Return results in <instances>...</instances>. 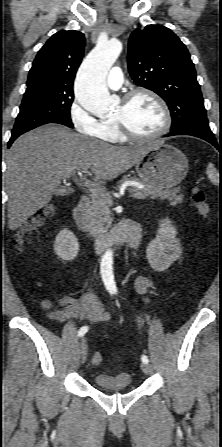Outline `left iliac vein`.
Wrapping results in <instances>:
<instances>
[{
    "instance_id": "1",
    "label": "left iliac vein",
    "mask_w": 222,
    "mask_h": 447,
    "mask_svg": "<svg viewBox=\"0 0 222 447\" xmlns=\"http://www.w3.org/2000/svg\"><path fill=\"white\" fill-rule=\"evenodd\" d=\"M141 369H142V371L145 373V374H147V375H150V374H152V367H151V365L150 364H148V363H142L141 364Z\"/></svg>"
}]
</instances>
